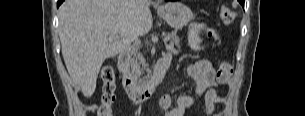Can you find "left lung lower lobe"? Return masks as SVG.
I'll list each match as a JSON object with an SVG mask.
<instances>
[{
	"label": "left lung lower lobe",
	"mask_w": 305,
	"mask_h": 116,
	"mask_svg": "<svg viewBox=\"0 0 305 116\" xmlns=\"http://www.w3.org/2000/svg\"><path fill=\"white\" fill-rule=\"evenodd\" d=\"M244 1L245 0H239V2L241 3V5L244 7Z\"/></svg>",
	"instance_id": "1"
}]
</instances>
